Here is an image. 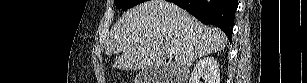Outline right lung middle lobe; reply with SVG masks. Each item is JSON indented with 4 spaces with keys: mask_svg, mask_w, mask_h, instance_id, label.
Here are the masks:
<instances>
[{
    "mask_svg": "<svg viewBox=\"0 0 307 83\" xmlns=\"http://www.w3.org/2000/svg\"><path fill=\"white\" fill-rule=\"evenodd\" d=\"M144 2V0H115L114 3L118 9H122L123 11L132 8L140 3Z\"/></svg>",
    "mask_w": 307,
    "mask_h": 83,
    "instance_id": "obj_1",
    "label": "right lung middle lobe"
}]
</instances>
